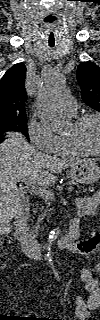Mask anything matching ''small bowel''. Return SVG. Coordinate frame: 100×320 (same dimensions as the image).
<instances>
[{"mask_svg": "<svg viewBox=\"0 0 100 320\" xmlns=\"http://www.w3.org/2000/svg\"><path fill=\"white\" fill-rule=\"evenodd\" d=\"M99 195L94 194L91 197H81L76 200V206L81 215L92 213V210L98 202ZM84 243L79 245V250L87 251ZM96 270L100 272V263L96 265ZM80 281L88 295L77 296L74 299L75 315L79 320H86L90 312L96 309L100 304V284L98 279L93 275L90 268H85L81 271Z\"/></svg>", "mask_w": 100, "mask_h": 320, "instance_id": "small-bowel-1", "label": "small bowel"}]
</instances>
